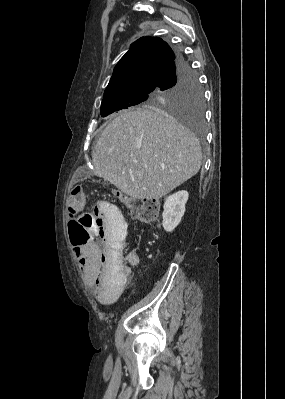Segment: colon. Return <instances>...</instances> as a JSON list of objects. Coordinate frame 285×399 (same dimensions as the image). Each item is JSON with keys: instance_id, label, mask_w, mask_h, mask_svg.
I'll return each mask as SVG.
<instances>
[{"instance_id": "1", "label": "colon", "mask_w": 285, "mask_h": 399, "mask_svg": "<svg viewBox=\"0 0 285 399\" xmlns=\"http://www.w3.org/2000/svg\"><path fill=\"white\" fill-rule=\"evenodd\" d=\"M87 199L83 188L79 184H74L70 189L68 197V209L73 218L68 222L70 240L74 245H80L97 240V235L88 231L87 226L91 220V215L85 211ZM130 214L143 222L157 224L160 220V207L156 199H144L143 201L130 200L126 203ZM107 251V250H106ZM115 254L117 248L112 246L108 249ZM133 255L126 253L123 255V263L118 266L120 275L126 278L130 275V265Z\"/></svg>"}]
</instances>
